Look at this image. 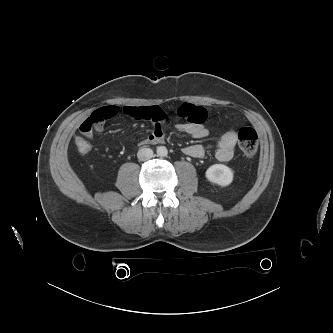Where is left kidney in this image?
Wrapping results in <instances>:
<instances>
[{
	"label": "left kidney",
	"mask_w": 333,
	"mask_h": 333,
	"mask_svg": "<svg viewBox=\"0 0 333 333\" xmlns=\"http://www.w3.org/2000/svg\"><path fill=\"white\" fill-rule=\"evenodd\" d=\"M206 178L212 183L227 186L233 180V172L226 165L214 164L207 169Z\"/></svg>",
	"instance_id": "left-kidney-1"
}]
</instances>
